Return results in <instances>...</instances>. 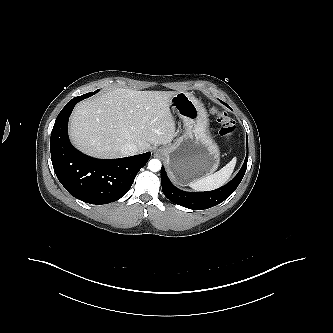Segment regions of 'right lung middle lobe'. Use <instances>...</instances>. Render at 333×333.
<instances>
[{
    "instance_id": "dd1d6c3e",
    "label": "right lung middle lobe",
    "mask_w": 333,
    "mask_h": 333,
    "mask_svg": "<svg viewBox=\"0 0 333 333\" xmlns=\"http://www.w3.org/2000/svg\"><path fill=\"white\" fill-rule=\"evenodd\" d=\"M98 91H99V90H96L95 92H90V93L84 94V95H82V96H79L78 98H80V100H83V99H85V98H88V97H90V96L96 94Z\"/></svg>"
}]
</instances>
